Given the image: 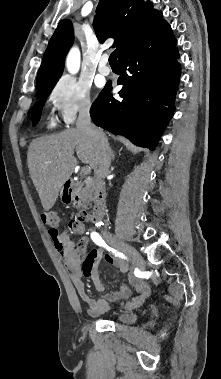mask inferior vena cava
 Returning a JSON list of instances; mask_svg holds the SVG:
<instances>
[{
  "label": "inferior vena cava",
  "instance_id": "602c4592",
  "mask_svg": "<svg viewBox=\"0 0 221 379\" xmlns=\"http://www.w3.org/2000/svg\"><path fill=\"white\" fill-rule=\"evenodd\" d=\"M90 106L85 105L81 108L77 119L76 127L85 131L97 141V159L94 168L95 177L98 181H102L109 172L111 163V149L107 138L103 131L96 128L91 123Z\"/></svg>",
  "mask_w": 221,
  "mask_h": 379
}]
</instances>
